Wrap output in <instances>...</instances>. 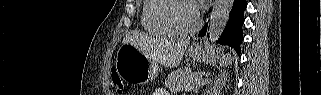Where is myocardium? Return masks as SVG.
Returning a JSON list of instances; mask_svg holds the SVG:
<instances>
[{
	"label": "myocardium",
	"mask_w": 321,
	"mask_h": 95,
	"mask_svg": "<svg viewBox=\"0 0 321 95\" xmlns=\"http://www.w3.org/2000/svg\"><path fill=\"white\" fill-rule=\"evenodd\" d=\"M160 4L156 7L154 17L155 21L162 27L164 28L169 34L178 36V37H187L195 32L198 31V29L201 26L202 20H201V15L199 10L197 9V6L190 0H159ZM174 2H186L190 4L194 10H195V15H196V21L195 24L192 28L188 30H179L175 28L168 20L166 17V10L170 7L171 3Z\"/></svg>",
	"instance_id": "f54148a6"
}]
</instances>
